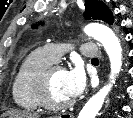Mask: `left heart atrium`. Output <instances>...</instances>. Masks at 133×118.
Returning a JSON list of instances; mask_svg holds the SVG:
<instances>
[{"mask_svg": "<svg viewBox=\"0 0 133 118\" xmlns=\"http://www.w3.org/2000/svg\"><path fill=\"white\" fill-rule=\"evenodd\" d=\"M64 87L70 98L78 97L86 88V76L81 67L65 71Z\"/></svg>", "mask_w": 133, "mask_h": 118, "instance_id": "39dd6f15", "label": "left heart atrium"}]
</instances>
